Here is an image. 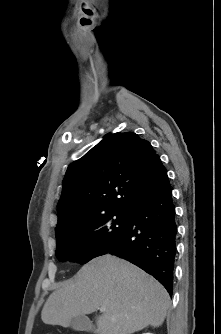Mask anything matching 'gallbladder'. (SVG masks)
Instances as JSON below:
<instances>
[{
	"label": "gallbladder",
	"instance_id": "gallbladder-1",
	"mask_svg": "<svg viewBox=\"0 0 221 334\" xmlns=\"http://www.w3.org/2000/svg\"><path fill=\"white\" fill-rule=\"evenodd\" d=\"M69 326L75 331H94L92 322L84 315L73 317Z\"/></svg>",
	"mask_w": 221,
	"mask_h": 334
}]
</instances>
